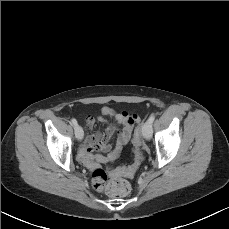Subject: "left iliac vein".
Segmentation results:
<instances>
[{
    "instance_id": "4c4485c4",
    "label": "left iliac vein",
    "mask_w": 229,
    "mask_h": 229,
    "mask_svg": "<svg viewBox=\"0 0 229 229\" xmlns=\"http://www.w3.org/2000/svg\"><path fill=\"white\" fill-rule=\"evenodd\" d=\"M142 133L146 140H150L152 137V123L149 121L145 122L142 126Z\"/></svg>"
}]
</instances>
